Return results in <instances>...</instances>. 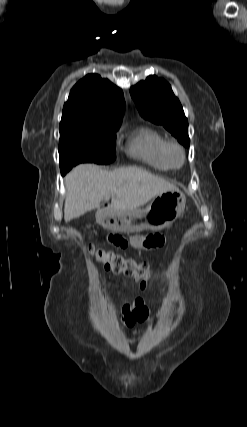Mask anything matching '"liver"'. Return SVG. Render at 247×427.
Listing matches in <instances>:
<instances>
[{"instance_id": "1", "label": "liver", "mask_w": 247, "mask_h": 427, "mask_svg": "<svg viewBox=\"0 0 247 427\" xmlns=\"http://www.w3.org/2000/svg\"><path fill=\"white\" fill-rule=\"evenodd\" d=\"M67 196L64 218L69 221L98 208L111 197L112 208L131 211L145 205L159 194L176 189L166 180L138 167L112 171L94 164H80L65 177Z\"/></svg>"}]
</instances>
